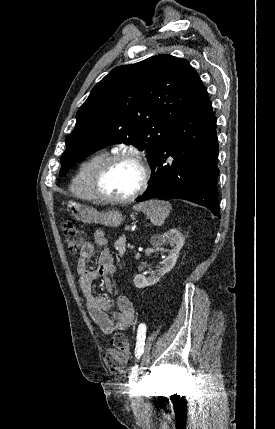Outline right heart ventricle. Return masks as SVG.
Wrapping results in <instances>:
<instances>
[{
  "mask_svg": "<svg viewBox=\"0 0 275 429\" xmlns=\"http://www.w3.org/2000/svg\"><path fill=\"white\" fill-rule=\"evenodd\" d=\"M107 156V151H99L79 165L70 183V190L75 196L85 201L96 200L91 187L92 177L98 165Z\"/></svg>",
  "mask_w": 275,
  "mask_h": 429,
  "instance_id": "1",
  "label": "right heart ventricle"
}]
</instances>
